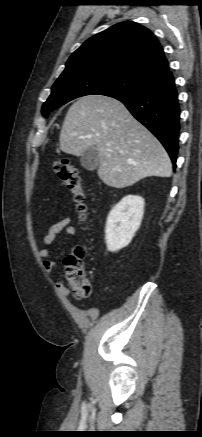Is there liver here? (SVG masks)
<instances>
[{
	"label": "liver",
	"mask_w": 202,
	"mask_h": 437,
	"mask_svg": "<svg viewBox=\"0 0 202 437\" xmlns=\"http://www.w3.org/2000/svg\"><path fill=\"white\" fill-rule=\"evenodd\" d=\"M59 140L61 150L74 156L94 147L100 161L98 176L110 187L125 188L149 176L172 174L162 144L111 97H80L65 116Z\"/></svg>",
	"instance_id": "6515ba94"
}]
</instances>
